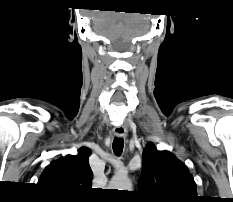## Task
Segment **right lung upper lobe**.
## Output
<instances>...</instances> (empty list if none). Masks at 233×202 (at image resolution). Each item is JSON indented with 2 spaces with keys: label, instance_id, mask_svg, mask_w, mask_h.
<instances>
[{
  "label": "right lung upper lobe",
  "instance_id": "cb5924a9",
  "mask_svg": "<svg viewBox=\"0 0 233 202\" xmlns=\"http://www.w3.org/2000/svg\"><path fill=\"white\" fill-rule=\"evenodd\" d=\"M88 148H81L78 155H68L50 163L40 176L38 184L64 196H80L91 189L93 177L89 165Z\"/></svg>",
  "mask_w": 233,
  "mask_h": 202
}]
</instances>
